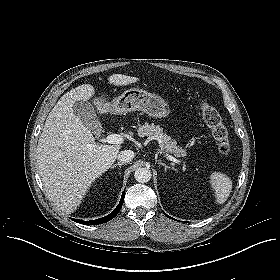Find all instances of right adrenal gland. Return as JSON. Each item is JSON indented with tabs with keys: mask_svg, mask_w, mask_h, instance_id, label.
I'll list each match as a JSON object with an SVG mask.
<instances>
[{
	"mask_svg": "<svg viewBox=\"0 0 280 280\" xmlns=\"http://www.w3.org/2000/svg\"><path fill=\"white\" fill-rule=\"evenodd\" d=\"M123 164H124V163H122V162H118V163L114 164V165L112 166V168H114V167H116V166H119V168H121V166H122Z\"/></svg>",
	"mask_w": 280,
	"mask_h": 280,
	"instance_id": "2a0ac1e0",
	"label": "right adrenal gland"
}]
</instances>
